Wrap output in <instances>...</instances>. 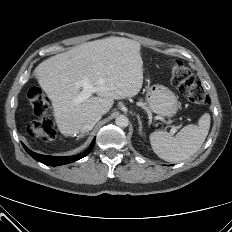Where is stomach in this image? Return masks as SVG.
<instances>
[{
	"label": "stomach",
	"instance_id": "obj_1",
	"mask_svg": "<svg viewBox=\"0 0 232 232\" xmlns=\"http://www.w3.org/2000/svg\"><path fill=\"white\" fill-rule=\"evenodd\" d=\"M147 103L155 114L173 117L179 108L178 97L167 87L153 85L147 93Z\"/></svg>",
	"mask_w": 232,
	"mask_h": 232
}]
</instances>
